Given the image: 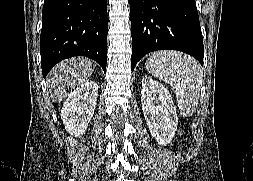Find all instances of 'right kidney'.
<instances>
[{
  "mask_svg": "<svg viewBox=\"0 0 253 181\" xmlns=\"http://www.w3.org/2000/svg\"><path fill=\"white\" fill-rule=\"evenodd\" d=\"M98 96V85L86 81L79 85L66 99L61 110V119L70 135H83L91 121Z\"/></svg>",
  "mask_w": 253,
  "mask_h": 181,
  "instance_id": "ca27d5eb",
  "label": "right kidney"
}]
</instances>
